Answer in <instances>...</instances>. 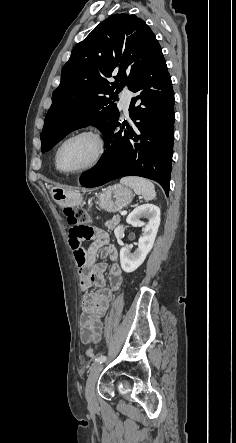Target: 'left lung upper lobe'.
Here are the masks:
<instances>
[{"label":"left lung upper lobe","instance_id":"left-lung-upper-lobe-1","mask_svg":"<svg viewBox=\"0 0 236 443\" xmlns=\"http://www.w3.org/2000/svg\"><path fill=\"white\" fill-rule=\"evenodd\" d=\"M157 43L142 19L114 14L76 44L45 117L42 152L91 124L105 134L120 115L113 104L118 92L132 85ZM112 76L115 82L109 81Z\"/></svg>","mask_w":236,"mask_h":443}]
</instances>
